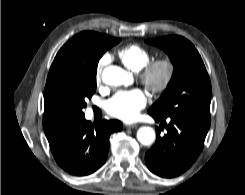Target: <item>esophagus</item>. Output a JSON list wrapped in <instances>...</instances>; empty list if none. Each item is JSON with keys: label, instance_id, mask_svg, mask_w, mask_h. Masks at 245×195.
<instances>
[{"label": "esophagus", "instance_id": "esophagus-1", "mask_svg": "<svg viewBox=\"0 0 245 195\" xmlns=\"http://www.w3.org/2000/svg\"><path fill=\"white\" fill-rule=\"evenodd\" d=\"M138 127V124H129V125H126V128L128 129H134V128H137Z\"/></svg>", "mask_w": 245, "mask_h": 195}]
</instances>
